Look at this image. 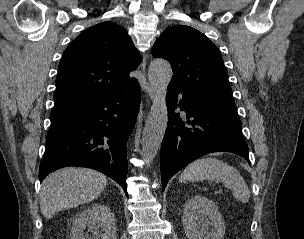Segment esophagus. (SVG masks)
<instances>
[{
  "label": "esophagus",
  "instance_id": "obj_1",
  "mask_svg": "<svg viewBox=\"0 0 304 239\" xmlns=\"http://www.w3.org/2000/svg\"><path fill=\"white\" fill-rule=\"evenodd\" d=\"M142 71L143 73L145 74V69H146V56H144L143 58V62H142ZM144 90L145 92L147 93V95L153 99L154 98V89L153 87L146 81L145 79V82H144Z\"/></svg>",
  "mask_w": 304,
  "mask_h": 239
}]
</instances>
